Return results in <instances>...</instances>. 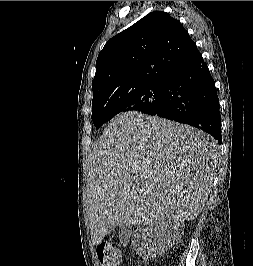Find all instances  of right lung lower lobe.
I'll return each instance as SVG.
<instances>
[{
	"label": "right lung lower lobe",
	"instance_id": "98d812e1",
	"mask_svg": "<svg viewBox=\"0 0 253 266\" xmlns=\"http://www.w3.org/2000/svg\"><path fill=\"white\" fill-rule=\"evenodd\" d=\"M164 83L162 106L149 115L200 128L221 144L219 99L214 79L202 55L173 72Z\"/></svg>",
	"mask_w": 253,
	"mask_h": 266
}]
</instances>
